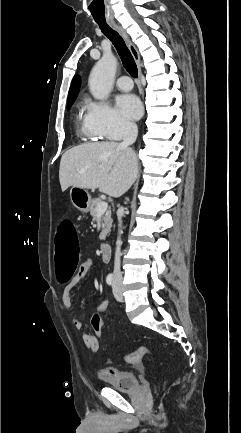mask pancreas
<instances>
[{"instance_id": "cf45deb5", "label": "pancreas", "mask_w": 241, "mask_h": 433, "mask_svg": "<svg viewBox=\"0 0 241 433\" xmlns=\"http://www.w3.org/2000/svg\"><path fill=\"white\" fill-rule=\"evenodd\" d=\"M102 202L101 199L95 198L91 202L90 206V214L93 217L94 220H97L98 213L96 211L97 205ZM112 218H111V210H107L105 214L101 216V222H102V232L99 236L100 240H105L107 234L110 232L111 226H112Z\"/></svg>"}]
</instances>
